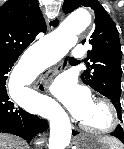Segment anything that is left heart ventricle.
Instances as JSON below:
<instances>
[{
    "label": "left heart ventricle",
    "mask_w": 124,
    "mask_h": 149,
    "mask_svg": "<svg viewBox=\"0 0 124 149\" xmlns=\"http://www.w3.org/2000/svg\"><path fill=\"white\" fill-rule=\"evenodd\" d=\"M82 122L96 129L105 127L109 123L107 108L104 105L94 101L91 109L84 117Z\"/></svg>",
    "instance_id": "left-heart-ventricle-1"
}]
</instances>
